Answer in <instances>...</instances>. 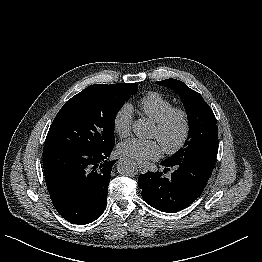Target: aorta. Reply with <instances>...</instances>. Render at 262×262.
<instances>
[{"label":"aorta","instance_id":"762f6f07","mask_svg":"<svg viewBox=\"0 0 262 262\" xmlns=\"http://www.w3.org/2000/svg\"><path fill=\"white\" fill-rule=\"evenodd\" d=\"M132 129L138 138H148L151 134L152 126L147 119L142 118L134 121ZM117 170L121 175L129 177L138 173L136 163L129 158H121L117 163Z\"/></svg>","mask_w":262,"mask_h":262}]
</instances>
